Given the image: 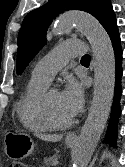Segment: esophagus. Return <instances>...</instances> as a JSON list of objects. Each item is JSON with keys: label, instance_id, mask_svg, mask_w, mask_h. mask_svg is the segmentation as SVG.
<instances>
[{"label": "esophagus", "instance_id": "34e87169", "mask_svg": "<svg viewBox=\"0 0 125 167\" xmlns=\"http://www.w3.org/2000/svg\"><path fill=\"white\" fill-rule=\"evenodd\" d=\"M77 138V135H76V133H74V132H69V133H67V135H66V139L67 140H75Z\"/></svg>", "mask_w": 125, "mask_h": 167}]
</instances>
